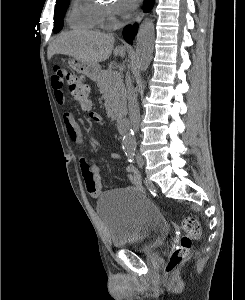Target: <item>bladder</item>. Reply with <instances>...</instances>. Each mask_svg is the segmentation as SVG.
<instances>
[{
	"mask_svg": "<svg viewBox=\"0 0 245 300\" xmlns=\"http://www.w3.org/2000/svg\"><path fill=\"white\" fill-rule=\"evenodd\" d=\"M113 248L150 253L169 235V224L143 193L132 189L111 190L97 202Z\"/></svg>",
	"mask_w": 245,
	"mask_h": 300,
	"instance_id": "1",
	"label": "bladder"
}]
</instances>
